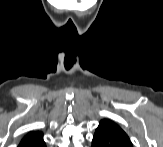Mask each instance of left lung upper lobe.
<instances>
[{
  "label": "left lung upper lobe",
  "instance_id": "obj_1",
  "mask_svg": "<svg viewBox=\"0 0 163 147\" xmlns=\"http://www.w3.org/2000/svg\"><path fill=\"white\" fill-rule=\"evenodd\" d=\"M98 128H109V129L123 131L117 124L107 119L101 120Z\"/></svg>",
  "mask_w": 163,
  "mask_h": 147
}]
</instances>
